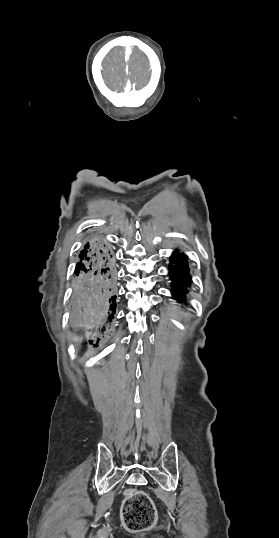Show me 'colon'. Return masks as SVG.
<instances>
[{
  "label": "colon",
  "mask_w": 279,
  "mask_h": 538,
  "mask_svg": "<svg viewBox=\"0 0 279 538\" xmlns=\"http://www.w3.org/2000/svg\"><path fill=\"white\" fill-rule=\"evenodd\" d=\"M156 521V509L151 498L143 491L128 490L122 505V522L131 532L148 529Z\"/></svg>",
  "instance_id": "obj_1"
}]
</instances>
